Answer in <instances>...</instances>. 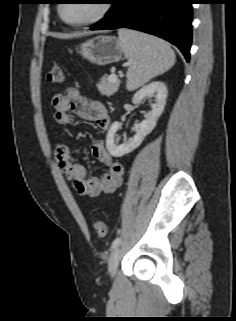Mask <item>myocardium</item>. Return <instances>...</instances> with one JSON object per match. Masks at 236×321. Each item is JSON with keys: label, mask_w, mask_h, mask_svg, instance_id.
I'll return each mask as SVG.
<instances>
[{"label": "myocardium", "mask_w": 236, "mask_h": 321, "mask_svg": "<svg viewBox=\"0 0 236 321\" xmlns=\"http://www.w3.org/2000/svg\"><path fill=\"white\" fill-rule=\"evenodd\" d=\"M65 4L66 3H60L58 5L57 11L60 19L65 24L70 26H86V25L97 23L98 21H100L101 19H103L108 15L112 7L111 3L108 0H102L100 1L99 10L92 17L83 19V20H78V21H69L63 15V8Z\"/></svg>", "instance_id": "myocardium-1"}]
</instances>
